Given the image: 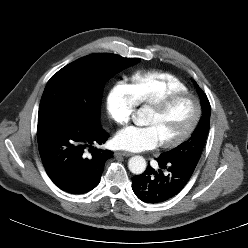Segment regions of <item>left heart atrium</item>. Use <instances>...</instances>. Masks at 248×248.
Segmentation results:
<instances>
[{
    "instance_id": "1",
    "label": "left heart atrium",
    "mask_w": 248,
    "mask_h": 248,
    "mask_svg": "<svg viewBox=\"0 0 248 248\" xmlns=\"http://www.w3.org/2000/svg\"><path fill=\"white\" fill-rule=\"evenodd\" d=\"M114 142L118 148L134 152L153 149L160 144L155 128L149 125L126 127L116 134Z\"/></svg>"
}]
</instances>
